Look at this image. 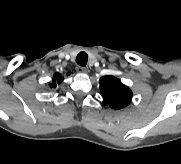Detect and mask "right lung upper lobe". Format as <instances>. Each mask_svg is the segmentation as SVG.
<instances>
[{"label":"right lung upper lobe","instance_id":"obj_1","mask_svg":"<svg viewBox=\"0 0 181 164\" xmlns=\"http://www.w3.org/2000/svg\"><path fill=\"white\" fill-rule=\"evenodd\" d=\"M70 73H68L67 75H69ZM63 76L59 73H55L54 77H53V81L50 84V87H56L57 84H60L63 81Z\"/></svg>","mask_w":181,"mask_h":164}]
</instances>
